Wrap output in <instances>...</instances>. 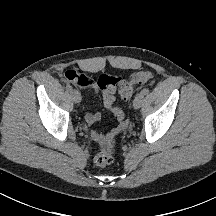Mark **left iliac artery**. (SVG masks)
I'll use <instances>...</instances> for the list:
<instances>
[{"instance_id":"1","label":"left iliac artery","mask_w":216,"mask_h":216,"mask_svg":"<svg viewBox=\"0 0 216 216\" xmlns=\"http://www.w3.org/2000/svg\"><path fill=\"white\" fill-rule=\"evenodd\" d=\"M140 93H141L143 96H144V95H147V94L149 93V89H148V88H144V89L141 90Z\"/></svg>"}]
</instances>
